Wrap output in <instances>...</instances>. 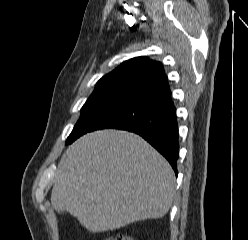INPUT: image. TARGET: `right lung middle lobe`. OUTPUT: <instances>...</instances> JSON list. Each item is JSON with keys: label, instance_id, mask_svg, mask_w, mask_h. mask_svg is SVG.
Segmentation results:
<instances>
[{"label": "right lung middle lobe", "instance_id": "1", "mask_svg": "<svg viewBox=\"0 0 248 240\" xmlns=\"http://www.w3.org/2000/svg\"><path fill=\"white\" fill-rule=\"evenodd\" d=\"M137 99L111 91H94L81 109V116L73 131L69 135L66 144H71L81 135L87 133L103 118L126 107Z\"/></svg>", "mask_w": 248, "mask_h": 240}]
</instances>
